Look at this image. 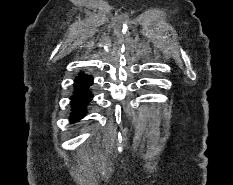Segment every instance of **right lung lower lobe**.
Segmentation results:
<instances>
[{
    "instance_id": "1",
    "label": "right lung lower lobe",
    "mask_w": 233,
    "mask_h": 185,
    "mask_svg": "<svg viewBox=\"0 0 233 185\" xmlns=\"http://www.w3.org/2000/svg\"><path fill=\"white\" fill-rule=\"evenodd\" d=\"M93 84V78L87 76L84 73H80L74 82V94L72 96V115L71 122L79 120L86 114V106L93 98V95L90 93L89 87Z\"/></svg>"
}]
</instances>
